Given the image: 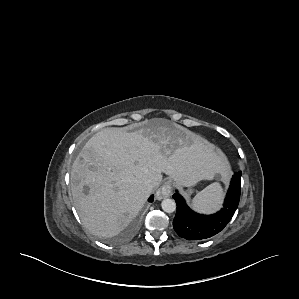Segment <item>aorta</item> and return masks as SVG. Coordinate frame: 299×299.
<instances>
[{
  "mask_svg": "<svg viewBox=\"0 0 299 299\" xmlns=\"http://www.w3.org/2000/svg\"><path fill=\"white\" fill-rule=\"evenodd\" d=\"M161 207L166 213H173L176 210V203L174 200L166 198L162 201Z\"/></svg>",
  "mask_w": 299,
  "mask_h": 299,
  "instance_id": "762f6f07",
  "label": "aorta"
}]
</instances>
